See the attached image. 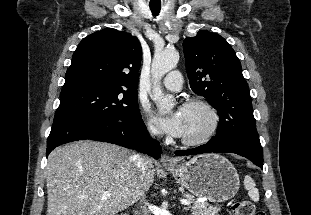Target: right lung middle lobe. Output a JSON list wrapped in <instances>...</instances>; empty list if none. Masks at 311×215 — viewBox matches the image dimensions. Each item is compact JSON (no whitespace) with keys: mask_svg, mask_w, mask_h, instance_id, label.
Instances as JSON below:
<instances>
[{"mask_svg":"<svg viewBox=\"0 0 311 215\" xmlns=\"http://www.w3.org/2000/svg\"><path fill=\"white\" fill-rule=\"evenodd\" d=\"M137 91L99 84L64 86L54 122L68 118L130 121L141 114Z\"/></svg>","mask_w":311,"mask_h":215,"instance_id":"dd1d6c3e","label":"right lung middle lobe"}]
</instances>
